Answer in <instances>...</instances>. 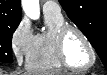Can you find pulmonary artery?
Segmentation results:
<instances>
[{
  "mask_svg": "<svg viewBox=\"0 0 107 75\" xmlns=\"http://www.w3.org/2000/svg\"><path fill=\"white\" fill-rule=\"evenodd\" d=\"M44 14L62 15L60 6L54 1H47L43 5Z\"/></svg>",
  "mask_w": 107,
  "mask_h": 75,
  "instance_id": "1",
  "label": "pulmonary artery"
}]
</instances>
